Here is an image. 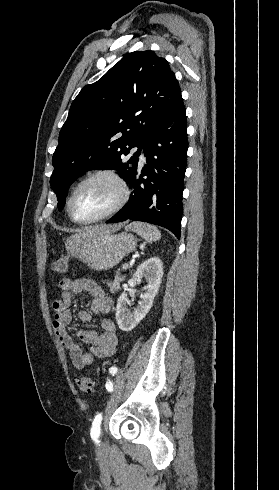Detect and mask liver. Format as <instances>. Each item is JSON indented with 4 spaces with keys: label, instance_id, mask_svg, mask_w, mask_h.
<instances>
[{
    "label": "liver",
    "instance_id": "liver-1",
    "mask_svg": "<svg viewBox=\"0 0 279 490\" xmlns=\"http://www.w3.org/2000/svg\"><path fill=\"white\" fill-rule=\"evenodd\" d=\"M123 224H114V226H88V228H82L79 230V234L73 236L74 240L82 242V240H91V238H97V236H104V234H110V232H116Z\"/></svg>",
    "mask_w": 279,
    "mask_h": 490
}]
</instances>
